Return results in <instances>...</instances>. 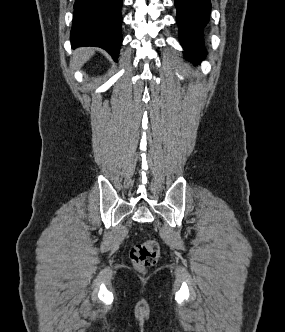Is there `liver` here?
<instances>
[{"instance_id":"1","label":"liver","mask_w":285,"mask_h":332,"mask_svg":"<svg viewBox=\"0 0 285 332\" xmlns=\"http://www.w3.org/2000/svg\"><path fill=\"white\" fill-rule=\"evenodd\" d=\"M95 53L94 48H81L77 49L74 52L73 61L71 62L72 66L76 68H81Z\"/></svg>"}]
</instances>
